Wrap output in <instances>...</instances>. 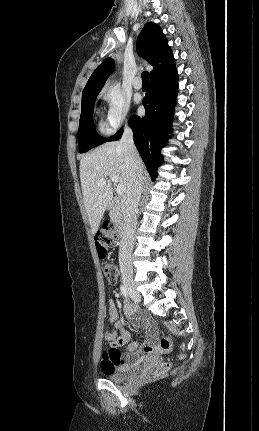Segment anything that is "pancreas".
<instances>
[{"instance_id": "cf45deb5", "label": "pancreas", "mask_w": 259, "mask_h": 431, "mask_svg": "<svg viewBox=\"0 0 259 431\" xmlns=\"http://www.w3.org/2000/svg\"><path fill=\"white\" fill-rule=\"evenodd\" d=\"M110 217L112 221L115 223L116 227H119L121 222V217H122L121 212L114 209L110 212Z\"/></svg>"}]
</instances>
